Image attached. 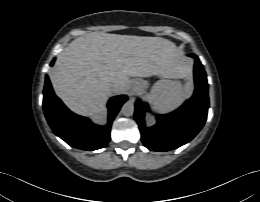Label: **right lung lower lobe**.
Instances as JSON below:
<instances>
[{
	"mask_svg": "<svg viewBox=\"0 0 260 202\" xmlns=\"http://www.w3.org/2000/svg\"><path fill=\"white\" fill-rule=\"evenodd\" d=\"M45 79L43 109L54 133L70 146L78 149L93 151L104 147L110 141L112 121L127 100V96H115L109 100L108 123L100 126L93 124L88 118L71 112L54 94L48 76Z\"/></svg>",
	"mask_w": 260,
	"mask_h": 202,
	"instance_id": "1",
	"label": "right lung lower lobe"
}]
</instances>
